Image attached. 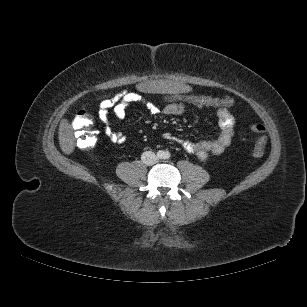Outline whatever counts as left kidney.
Listing matches in <instances>:
<instances>
[{"instance_id": "1", "label": "left kidney", "mask_w": 307, "mask_h": 307, "mask_svg": "<svg viewBox=\"0 0 307 307\" xmlns=\"http://www.w3.org/2000/svg\"><path fill=\"white\" fill-rule=\"evenodd\" d=\"M198 157L201 159V160H205L207 157H208V154L204 151H199L198 152Z\"/></svg>"}]
</instances>
